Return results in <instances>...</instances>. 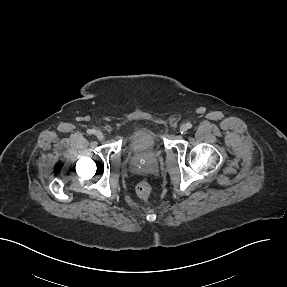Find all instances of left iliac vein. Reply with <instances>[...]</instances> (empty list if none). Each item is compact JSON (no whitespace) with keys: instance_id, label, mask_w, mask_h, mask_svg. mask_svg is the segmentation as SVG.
<instances>
[{"instance_id":"4c4485c4","label":"left iliac vein","mask_w":287,"mask_h":287,"mask_svg":"<svg viewBox=\"0 0 287 287\" xmlns=\"http://www.w3.org/2000/svg\"><path fill=\"white\" fill-rule=\"evenodd\" d=\"M187 130H188V128H187V125H186V124L181 125L180 131H181L182 133H185Z\"/></svg>"}]
</instances>
